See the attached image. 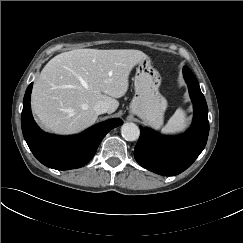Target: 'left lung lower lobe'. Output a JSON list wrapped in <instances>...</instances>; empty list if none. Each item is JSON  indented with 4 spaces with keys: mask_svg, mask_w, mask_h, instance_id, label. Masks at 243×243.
I'll return each instance as SVG.
<instances>
[{
    "mask_svg": "<svg viewBox=\"0 0 243 243\" xmlns=\"http://www.w3.org/2000/svg\"><path fill=\"white\" fill-rule=\"evenodd\" d=\"M183 74L194 105L191 128L182 136L164 137L140 126L141 135L134 150L135 159L142 167L163 176L177 175L186 170L203 151L209 133L204 95L187 66H184Z\"/></svg>",
    "mask_w": 243,
    "mask_h": 243,
    "instance_id": "1",
    "label": "left lung lower lobe"
}]
</instances>
